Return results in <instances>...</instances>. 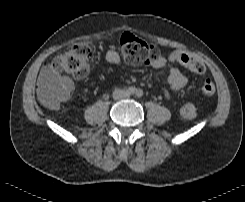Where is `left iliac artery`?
I'll return each instance as SVG.
<instances>
[{
    "label": "left iliac artery",
    "instance_id": "44dca946",
    "mask_svg": "<svg viewBox=\"0 0 245 202\" xmlns=\"http://www.w3.org/2000/svg\"><path fill=\"white\" fill-rule=\"evenodd\" d=\"M136 96L139 97V98L142 97L143 96V91L141 89L136 90Z\"/></svg>",
    "mask_w": 245,
    "mask_h": 202
}]
</instances>
